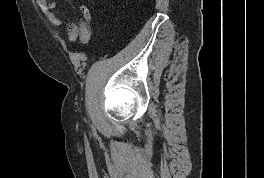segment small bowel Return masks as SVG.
<instances>
[{"label": "small bowel", "mask_w": 264, "mask_h": 178, "mask_svg": "<svg viewBox=\"0 0 264 178\" xmlns=\"http://www.w3.org/2000/svg\"><path fill=\"white\" fill-rule=\"evenodd\" d=\"M37 3L42 10V12L47 17L48 21L56 27H59L62 25L61 19L58 17L56 13L57 4L50 0H37ZM79 28L78 25L74 23H69L67 26L68 33L77 31Z\"/></svg>", "instance_id": "obj_1"}]
</instances>
